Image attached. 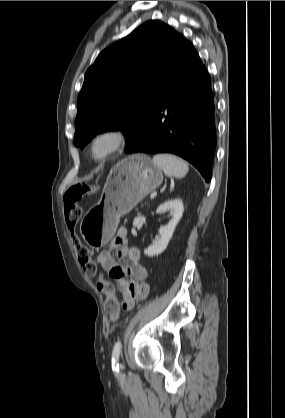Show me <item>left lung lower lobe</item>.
<instances>
[{
    "label": "left lung lower lobe",
    "instance_id": "obj_1",
    "mask_svg": "<svg viewBox=\"0 0 285 418\" xmlns=\"http://www.w3.org/2000/svg\"><path fill=\"white\" fill-rule=\"evenodd\" d=\"M216 145L211 79L193 44L184 39L143 134L127 152L176 154L209 182Z\"/></svg>",
    "mask_w": 285,
    "mask_h": 418
}]
</instances>
